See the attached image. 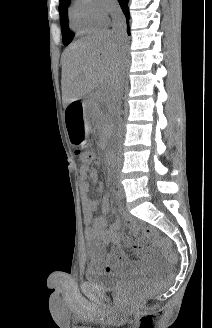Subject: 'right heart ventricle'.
Wrapping results in <instances>:
<instances>
[{"label":"right heart ventricle","instance_id":"e07e8e85","mask_svg":"<svg viewBox=\"0 0 212 328\" xmlns=\"http://www.w3.org/2000/svg\"><path fill=\"white\" fill-rule=\"evenodd\" d=\"M69 24L75 33L81 35L99 28L103 23L92 16L87 0H75L69 8Z\"/></svg>","mask_w":212,"mask_h":328}]
</instances>
